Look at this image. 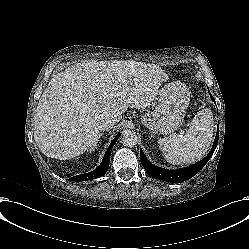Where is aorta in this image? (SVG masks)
I'll list each match as a JSON object with an SVG mask.
<instances>
[{
  "label": "aorta",
  "instance_id": "obj_1",
  "mask_svg": "<svg viewBox=\"0 0 249 249\" xmlns=\"http://www.w3.org/2000/svg\"><path fill=\"white\" fill-rule=\"evenodd\" d=\"M138 142V136L134 131L125 130L122 134V143L127 147H133Z\"/></svg>",
  "mask_w": 249,
  "mask_h": 249
}]
</instances>
